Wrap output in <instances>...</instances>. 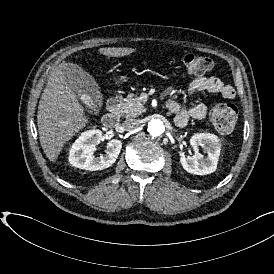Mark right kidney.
I'll return each instance as SVG.
<instances>
[{"mask_svg": "<svg viewBox=\"0 0 274 274\" xmlns=\"http://www.w3.org/2000/svg\"><path fill=\"white\" fill-rule=\"evenodd\" d=\"M101 139L102 132L98 129L82 133L70 149V164L73 167L88 171H98L111 167L122 150V141L119 139L109 140L106 144V155L94 157L93 151Z\"/></svg>", "mask_w": 274, "mask_h": 274, "instance_id": "ca27d5eb", "label": "right kidney"}]
</instances>
